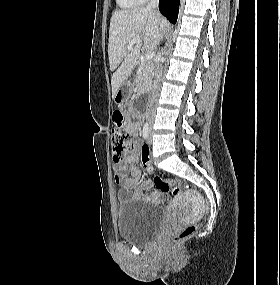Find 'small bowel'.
<instances>
[{
    "mask_svg": "<svg viewBox=\"0 0 280 285\" xmlns=\"http://www.w3.org/2000/svg\"><path fill=\"white\" fill-rule=\"evenodd\" d=\"M139 117H135V120L128 123L126 126L127 132L134 138H138L140 135V128L138 125ZM146 145L142 147V151L146 149ZM139 150L140 143L136 140L133 143V148L130 150L129 154L126 155L121 162L117 163V171L115 174V181L117 184L122 186V190L119 193V198L121 201H126L129 198L140 199L144 201H149L155 204H163L166 200L164 196L161 195L159 191H155L151 194L147 193L152 187V182L147 180L140 182L139 178L141 172L138 168H132L130 174L125 170L127 164H135L139 160ZM142 166L147 171L153 170V165L150 159L142 161ZM133 190V191H132Z\"/></svg>",
    "mask_w": 280,
    "mask_h": 285,
    "instance_id": "1",
    "label": "small bowel"
}]
</instances>
